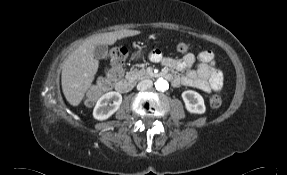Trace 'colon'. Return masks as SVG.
<instances>
[{
    "instance_id": "obj_1",
    "label": "colon",
    "mask_w": 287,
    "mask_h": 175,
    "mask_svg": "<svg viewBox=\"0 0 287 175\" xmlns=\"http://www.w3.org/2000/svg\"><path fill=\"white\" fill-rule=\"evenodd\" d=\"M178 50L181 53H187L190 50V45L188 43H181L178 45ZM125 54L124 49H118L112 53L113 57H120ZM211 103L215 106H218L221 103V98L218 94H214L211 97Z\"/></svg>"
}]
</instances>
